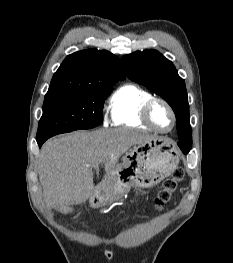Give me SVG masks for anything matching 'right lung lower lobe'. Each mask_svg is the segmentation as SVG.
<instances>
[{"label": "right lung lower lobe", "instance_id": "98d812e1", "mask_svg": "<svg viewBox=\"0 0 233 263\" xmlns=\"http://www.w3.org/2000/svg\"><path fill=\"white\" fill-rule=\"evenodd\" d=\"M45 141H46L45 139L37 141V143H38L39 147H41V146H42V144H43Z\"/></svg>", "mask_w": 233, "mask_h": 263}]
</instances>
